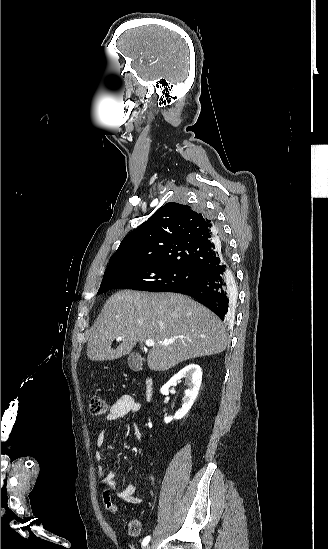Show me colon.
Instances as JSON below:
<instances>
[{
	"mask_svg": "<svg viewBox=\"0 0 328 549\" xmlns=\"http://www.w3.org/2000/svg\"><path fill=\"white\" fill-rule=\"evenodd\" d=\"M107 405L105 400L100 395H92L89 399V410L94 415H100L103 414L106 411ZM102 502L104 508L111 512L116 513L117 507L115 503L112 500V497L109 493V491L104 490L102 493ZM127 530L129 535L131 536H138L141 533L142 530V524L141 521L138 519H132L129 521Z\"/></svg>",
	"mask_w": 328,
	"mask_h": 549,
	"instance_id": "5ec220e1",
	"label": "colon"
}]
</instances>
